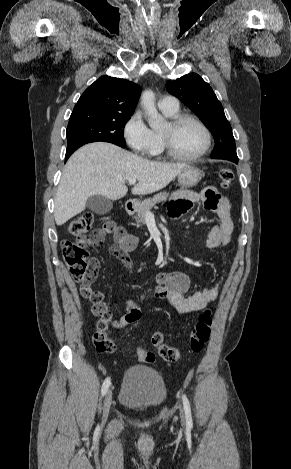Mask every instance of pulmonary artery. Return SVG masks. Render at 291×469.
Returning <instances> with one entry per match:
<instances>
[{
    "instance_id": "pulmonary-artery-1",
    "label": "pulmonary artery",
    "mask_w": 291,
    "mask_h": 469,
    "mask_svg": "<svg viewBox=\"0 0 291 469\" xmlns=\"http://www.w3.org/2000/svg\"><path fill=\"white\" fill-rule=\"evenodd\" d=\"M158 106L163 110L176 111L179 109V102L176 97L167 95L159 100Z\"/></svg>"
}]
</instances>
